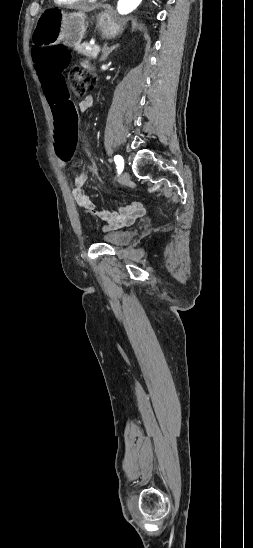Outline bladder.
I'll return each instance as SVG.
<instances>
[{"instance_id":"1","label":"bladder","mask_w":253,"mask_h":548,"mask_svg":"<svg viewBox=\"0 0 253 548\" xmlns=\"http://www.w3.org/2000/svg\"><path fill=\"white\" fill-rule=\"evenodd\" d=\"M134 235L132 230H116L108 232L102 240L113 246H124L133 239Z\"/></svg>"}]
</instances>
